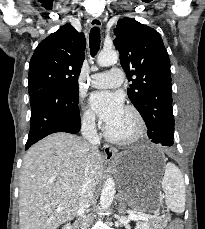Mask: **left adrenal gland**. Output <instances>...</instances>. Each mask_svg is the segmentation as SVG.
<instances>
[{"mask_svg": "<svg viewBox=\"0 0 205 229\" xmlns=\"http://www.w3.org/2000/svg\"><path fill=\"white\" fill-rule=\"evenodd\" d=\"M124 210H125L124 198H123V195L120 194V196H119V209H118V212L119 213H124Z\"/></svg>", "mask_w": 205, "mask_h": 229, "instance_id": "obj_1", "label": "left adrenal gland"}]
</instances>
